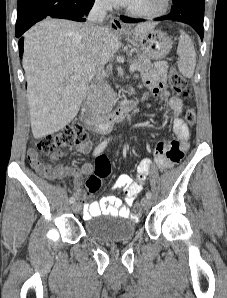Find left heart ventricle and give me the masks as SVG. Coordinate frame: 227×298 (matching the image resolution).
<instances>
[{
	"label": "left heart ventricle",
	"instance_id": "left-heart-ventricle-1",
	"mask_svg": "<svg viewBox=\"0 0 227 298\" xmlns=\"http://www.w3.org/2000/svg\"><path fill=\"white\" fill-rule=\"evenodd\" d=\"M160 2L161 0H134L129 7L140 11H153L160 6Z\"/></svg>",
	"mask_w": 227,
	"mask_h": 298
}]
</instances>
